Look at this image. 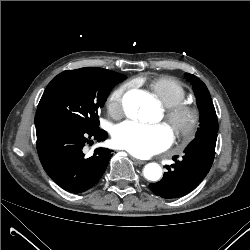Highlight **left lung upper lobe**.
Returning <instances> with one entry per match:
<instances>
[{"mask_svg":"<svg viewBox=\"0 0 250 250\" xmlns=\"http://www.w3.org/2000/svg\"><path fill=\"white\" fill-rule=\"evenodd\" d=\"M185 77L193 85L197 106L200 111V127L196 137L218 132V121L210 93L206 85L192 74Z\"/></svg>","mask_w":250,"mask_h":250,"instance_id":"5c2ea615","label":"left lung upper lobe"}]
</instances>
